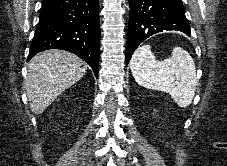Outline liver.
<instances>
[{
	"label": "liver",
	"instance_id": "1",
	"mask_svg": "<svg viewBox=\"0 0 227 166\" xmlns=\"http://www.w3.org/2000/svg\"><path fill=\"white\" fill-rule=\"evenodd\" d=\"M87 64L63 50H46L36 54L28 66L25 82L31 111L41 114L61 93L78 82Z\"/></svg>",
	"mask_w": 227,
	"mask_h": 166
}]
</instances>
